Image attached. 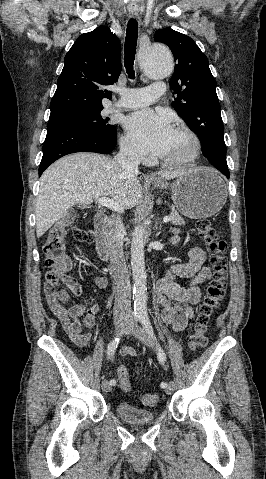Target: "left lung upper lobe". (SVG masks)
I'll use <instances>...</instances> for the list:
<instances>
[{"label":"left lung upper lobe","mask_w":266,"mask_h":479,"mask_svg":"<svg viewBox=\"0 0 266 479\" xmlns=\"http://www.w3.org/2000/svg\"><path fill=\"white\" fill-rule=\"evenodd\" d=\"M154 39L169 46L177 62L169 83L177 96L174 109L198 135L204 156L217 169L228 168L216 81L206 55L190 37L171 28L157 30Z\"/></svg>","instance_id":"obj_1"}]
</instances>
